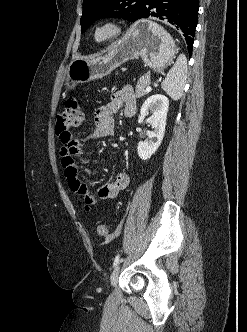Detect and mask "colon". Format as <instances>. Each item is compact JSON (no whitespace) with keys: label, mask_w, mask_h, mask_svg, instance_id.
<instances>
[{"label":"colon","mask_w":247,"mask_h":332,"mask_svg":"<svg viewBox=\"0 0 247 332\" xmlns=\"http://www.w3.org/2000/svg\"><path fill=\"white\" fill-rule=\"evenodd\" d=\"M83 120L82 109L74 98H69L65 102L64 110L57 116L56 134L62 144H73L74 138L72 130L78 127ZM95 232L97 236L102 238H110L111 227L107 223H99L96 225Z\"/></svg>","instance_id":"5ec220e1"}]
</instances>
